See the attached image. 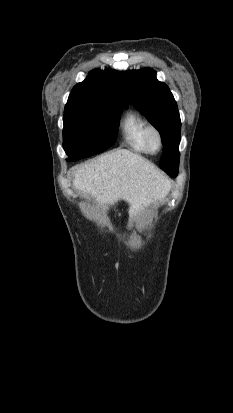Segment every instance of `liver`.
Returning a JSON list of instances; mask_svg holds the SVG:
<instances>
[{
	"instance_id": "6515ba94",
	"label": "liver",
	"mask_w": 233,
	"mask_h": 413,
	"mask_svg": "<svg viewBox=\"0 0 233 413\" xmlns=\"http://www.w3.org/2000/svg\"><path fill=\"white\" fill-rule=\"evenodd\" d=\"M74 186L103 208L120 200L129 204L131 218L168 195L171 182L145 158L126 149L104 154L74 168Z\"/></svg>"
}]
</instances>
